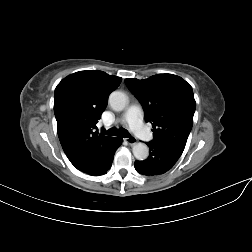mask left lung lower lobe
<instances>
[{
  "label": "left lung lower lobe",
  "instance_id": "1",
  "mask_svg": "<svg viewBox=\"0 0 252 252\" xmlns=\"http://www.w3.org/2000/svg\"><path fill=\"white\" fill-rule=\"evenodd\" d=\"M149 156L146 160L135 161V169L145 176H156L170 170L182 155L181 150L166 144L151 141L147 143Z\"/></svg>",
  "mask_w": 252,
  "mask_h": 252
}]
</instances>
